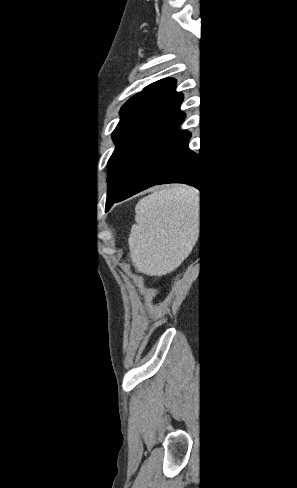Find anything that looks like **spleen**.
Wrapping results in <instances>:
<instances>
[{
	"label": "spleen",
	"instance_id": "3e777b00",
	"mask_svg": "<svg viewBox=\"0 0 297 488\" xmlns=\"http://www.w3.org/2000/svg\"><path fill=\"white\" fill-rule=\"evenodd\" d=\"M196 208L197 192L185 186L162 188L138 202L128 240L137 270L161 276L181 264L192 248Z\"/></svg>",
	"mask_w": 297,
	"mask_h": 488
}]
</instances>
